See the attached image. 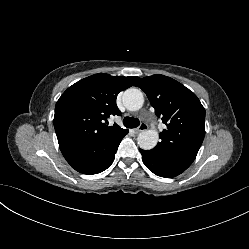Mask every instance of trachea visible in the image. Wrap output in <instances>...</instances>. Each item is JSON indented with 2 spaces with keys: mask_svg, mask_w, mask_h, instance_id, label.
<instances>
[{
  "mask_svg": "<svg viewBox=\"0 0 249 249\" xmlns=\"http://www.w3.org/2000/svg\"><path fill=\"white\" fill-rule=\"evenodd\" d=\"M123 124L127 128H136L140 125V121L138 118L134 117H125L123 119Z\"/></svg>",
  "mask_w": 249,
  "mask_h": 249,
  "instance_id": "3493384b",
  "label": "trachea"
}]
</instances>
